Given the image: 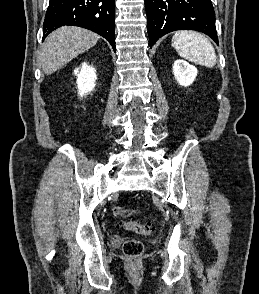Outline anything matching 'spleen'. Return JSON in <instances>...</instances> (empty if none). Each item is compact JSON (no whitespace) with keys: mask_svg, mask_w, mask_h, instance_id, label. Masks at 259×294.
Wrapping results in <instances>:
<instances>
[{"mask_svg":"<svg viewBox=\"0 0 259 294\" xmlns=\"http://www.w3.org/2000/svg\"><path fill=\"white\" fill-rule=\"evenodd\" d=\"M172 46L178 54L194 63L214 67L217 62L215 50L210 41L193 31H178L172 37Z\"/></svg>","mask_w":259,"mask_h":294,"instance_id":"1","label":"spleen"}]
</instances>
